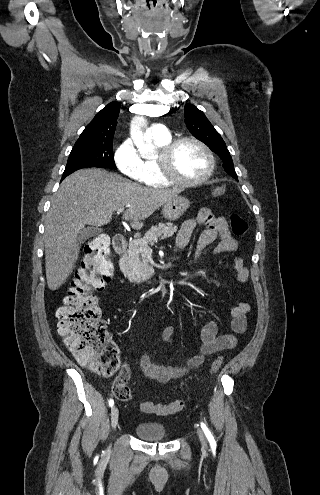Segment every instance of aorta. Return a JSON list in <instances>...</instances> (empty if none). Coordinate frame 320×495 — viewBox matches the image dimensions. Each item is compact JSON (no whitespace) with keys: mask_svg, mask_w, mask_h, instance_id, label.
<instances>
[{"mask_svg":"<svg viewBox=\"0 0 320 495\" xmlns=\"http://www.w3.org/2000/svg\"><path fill=\"white\" fill-rule=\"evenodd\" d=\"M159 110L160 107L158 106H154V105L144 106V111L150 116L154 115ZM145 123H146V119L144 116H136L131 121V126H130L131 138L141 155H148L153 152V146L145 142L144 139L142 127L144 126Z\"/></svg>","mask_w":320,"mask_h":495,"instance_id":"obj_1","label":"aorta"}]
</instances>
